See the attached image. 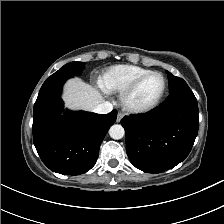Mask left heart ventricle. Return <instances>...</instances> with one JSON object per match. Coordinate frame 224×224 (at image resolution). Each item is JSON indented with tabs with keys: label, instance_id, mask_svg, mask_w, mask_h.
Here are the masks:
<instances>
[{
	"label": "left heart ventricle",
	"instance_id": "obj_1",
	"mask_svg": "<svg viewBox=\"0 0 224 224\" xmlns=\"http://www.w3.org/2000/svg\"><path fill=\"white\" fill-rule=\"evenodd\" d=\"M163 86L164 81L160 75L148 77L132 96L131 103L134 105H147L153 102L161 93Z\"/></svg>",
	"mask_w": 224,
	"mask_h": 224
}]
</instances>
